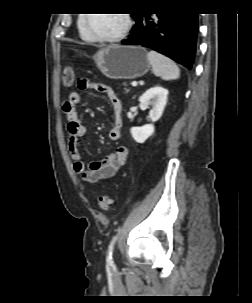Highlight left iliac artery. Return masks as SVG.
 Here are the masks:
<instances>
[{
  "label": "left iliac artery",
  "mask_w": 252,
  "mask_h": 303,
  "mask_svg": "<svg viewBox=\"0 0 252 303\" xmlns=\"http://www.w3.org/2000/svg\"><path fill=\"white\" fill-rule=\"evenodd\" d=\"M117 234L113 237L112 241L110 242L109 244V247H108V255H107V261L108 262H112V254H113V249H114V244L120 234V228H118L117 230Z\"/></svg>",
  "instance_id": "left-iliac-artery-1"
}]
</instances>
